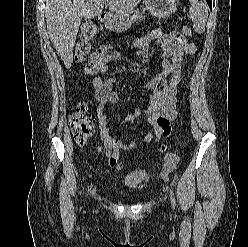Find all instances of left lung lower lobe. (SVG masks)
I'll return each mask as SVG.
<instances>
[{"instance_id":"left-lung-lower-lobe-1","label":"left lung lower lobe","mask_w":248,"mask_h":247,"mask_svg":"<svg viewBox=\"0 0 248 247\" xmlns=\"http://www.w3.org/2000/svg\"><path fill=\"white\" fill-rule=\"evenodd\" d=\"M206 1H207L208 5H209L210 9H212V0H206Z\"/></svg>"}]
</instances>
